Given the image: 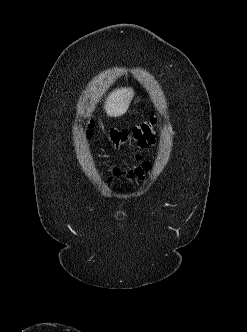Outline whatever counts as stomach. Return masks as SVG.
I'll return each mask as SVG.
<instances>
[{
    "label": "stomach",
    "mask_w": 247,
    "mask_h": 332,
    "mask_svg": "<svg viewBox=\"0 0 247 332\" xmlns=\"http://www.w3.org/2000/svg\"><path fill=\"white\" fill-rule=\"evenodd\" d=\"M139 102V99H135L134 101V104L138 103Z\"/></svg>",
    "instance_id": "obj_1"
}]
</instances>
